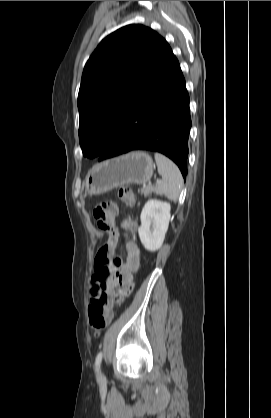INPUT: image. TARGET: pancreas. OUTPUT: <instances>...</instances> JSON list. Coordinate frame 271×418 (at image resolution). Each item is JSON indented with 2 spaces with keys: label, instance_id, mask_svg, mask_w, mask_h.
Listing matches in <instances>:
<instances>
[{
  "label": "pancreas",
  "instance_id": "cf45deb5",
  "mask_svg": "<svg viewBox=\"0 0 271 418\" xmlns=\"http://www.w3.org/2000/svg\"><path fill=\"white\" fill-rule=\"evenodd\" d=\"M139 192L141 194H143L144 196H149L152 193L158 194L159 193V190H158V187L157 186L156 187H153V186H143V188H141L139 190Z\"/></svg>",
  "mask_w": 271,
  "mask_h": 418
}]
</instances>
